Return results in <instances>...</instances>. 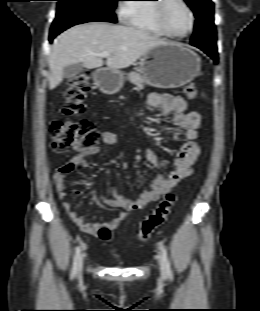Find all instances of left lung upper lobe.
<instances>
[{
  "mask_svg": "<svg viewBox=\"0 0 260 311\" xmlns=\"http://www.w3.org/2000/svg\"><path fill=\"white\" fill-rule=\"evenodd\" d=\"M196 16L191 44L216 47V29L213 18L214 4L211 0H185Z\"/></svg>",
  "mask_w": 260,
  "mask_h": 311,
  "instance_id": "obj_1",
  "label": "left lung upper lobe"
}]
</instances>
